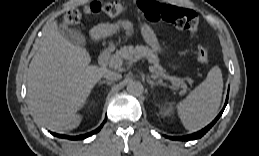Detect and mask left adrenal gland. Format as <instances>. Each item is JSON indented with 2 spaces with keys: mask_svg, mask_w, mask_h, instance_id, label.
Returning a JSON list of instances; mask_svg holds the SVG:
<instances>
[{
  "mask_svg": "<svg viewBox=\"0 0 259 156\" xmlns=\"http://www.w3.org/2000/svg\"><path fill=\"white\" fill-rule=\"evenodd\" d=\"M147 82L150 84L151 88H153L156 85L165 86V84L161 80L153 81V80L150 79V77L147 78Z\"/></svg>",
  "mask_w": 259,
  "mask_h": 156,
  "instance_id": "1",
  "label": "left adrenal gland"
}]
</instances>
